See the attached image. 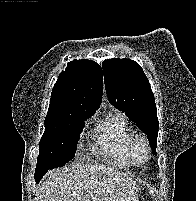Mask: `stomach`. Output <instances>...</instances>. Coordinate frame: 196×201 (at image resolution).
Masks as SVG:
<instances>
[{
	"label": "stomach",
	"mask_w": 196,
	"mask_h": 201,
	"mask_svg": "<svg viewBox=\"0 0 196 201\" xmlns=\"http://www.w3.org/2000/svg\"><path fill=\"white\" fill-rule=\"evenodd\" d=\"M128 201H137V200H136V196H135L134 199H133V198H132V199L130 198Z\"/></svg>",
	"instance_id": "stomach-1"
}]
</instances>
